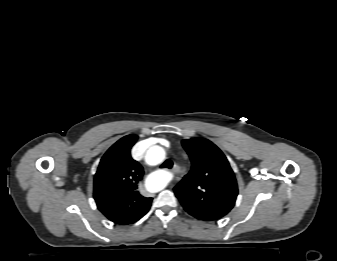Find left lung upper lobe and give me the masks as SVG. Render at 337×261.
<instances>
[{
    "instance_id": "left-lung-upper-lobe-1",
    "label": "left lung upper lobe",
    "mask_w": 337,
    "mask_h": 261,
    "mask_svg": "<svg viewBox=\"0 0 337 261\" xmlns=\"http://www.w3.org/2000/svg\"><path fill=\"white\" fill-rule=\"evenodd\" d=\"M192 168L174 187L183 208L202 221H216L234 206L237 182L222 151L204 138L183 140Z\"/></svg>"
}]
</instances>
